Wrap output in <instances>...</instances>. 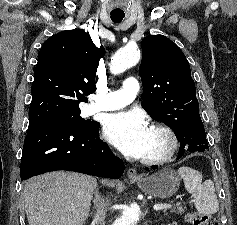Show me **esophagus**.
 <instances>
[{"label": "esophagus", "instance_id": "esophagus-1", "mask_svg": "<svg viewBox=\"0 0 237 225\" xmlns=\"http://www.w3.org/2000/svg\"><path fill=\"white\" fill-rule=\"evenodd\" d=\"M127 176H128L129 178H138V177H139V175H138L136 169H134V168L128 169V171H127Z\"/></svg>", "mask_w": 237, "mask_h": 225}]
</instances>
